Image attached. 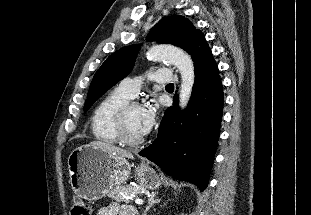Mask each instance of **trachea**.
<instances>
[{
  "label": "trachea",
  "instance_id": "1",
  "mask_svg": "<svg viewBox=\"0 0 311 215\" xmlns=\"http://www.w3.org/2000/svg\"><path fill=\"white\" fill-rule=\"evenodd\" d=\"M166 87H174L173 83L167 84Z\"/></svg>",
  "mask_w": 311,
  "mask_h": 215
}]
</instances>
